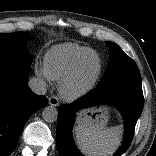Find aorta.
<instances>
[{"mask_svg":"<svg viewBox=\"0 0 156 156\" xmlns=\"http://www.w3.org/2000/svg\"><path fill=\"white\" fill-rule=\"evenodd\" d=\"M42 117L45 122L53 123L57 120L58 111L53 106H47L43 109Z\"/></svg>","mask_w":156,"mask_h":156,"instance_id":"1","label":"aorta"}]
</instances>
